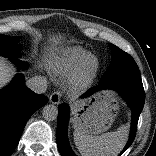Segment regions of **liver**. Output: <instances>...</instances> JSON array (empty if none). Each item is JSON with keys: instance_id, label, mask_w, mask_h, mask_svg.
<instances>
[{"instance_id": "6515ba94", "label": "liver", "mask_w": 156, "mask_h": 156, "mask_svg": "<svg viewBox=\"0 0 156 156\" xmlns=\"http://www.w3.org/2000/svg\"><path fill=\"white\" fill-rule=\"evenodd\" d=\"M60 39L61 36H57L53 37L51 40L57 44ZM11 76V68L6 64L4 59L0 58V88L10 80Z\"/></svg>"}]
</instances>
